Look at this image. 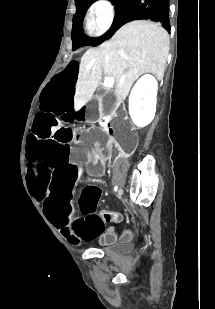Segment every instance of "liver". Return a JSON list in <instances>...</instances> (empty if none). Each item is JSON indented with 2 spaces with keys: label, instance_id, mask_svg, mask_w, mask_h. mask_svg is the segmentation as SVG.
Masks as SVG:
<instances>
[{
  "label": "liver",
  "instance_id": "6515ba94",
  "mask_svg": "<svg viewBox=\"0 0 215 309\" xmlns=\"http://www.w3.org/2000/svg\"><path fill=\"white\" fill-rule=\"evenodd\" d=\"M169 52V34L160 22L132 20L98 48H88L79 64L74 108L91 100L102 74L114 78L117 100H124L136 78L152 72L162 80Z\"/></svg>",
  "mask_w": 215,
  "mask_h": 309
}]
</instances>
